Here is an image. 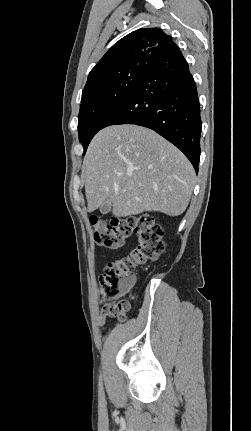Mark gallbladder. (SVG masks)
I'll list each match as a JSON object with an SVG mask.
<instances>
[{
	"label": "gallbladder",
	"instance_id": "1",
	"mask_svg": "<svg viewBox=\"0 0 251 431\" xmlns=\"http://www.w3.org/2000/svg\"><path fill=\"white\" fill-rule=\"evenodd\" d=\"M112 204L109 200H106L102 203V205L100 206V212L102 214H108L111 210Z\"/></svg>",
	"mask_w": 251,
	"mask_h": 431
}]
</instances>
